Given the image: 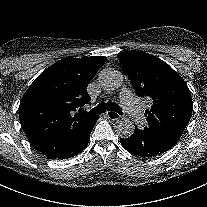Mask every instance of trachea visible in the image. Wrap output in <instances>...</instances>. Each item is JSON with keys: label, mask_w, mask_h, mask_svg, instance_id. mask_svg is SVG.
I'll use <instances>...</instances> for the list:
<instances>
[{"label": "trachea", "mask_w": 207, "mask_h": 207, "mask_svg": "<svg viewBox=\"0 0 207 207\" xmlns=\"http://www.w3.org/2000/svg\"><path fill=\"white\" fill-rule=\"evenodd\" d=\"M106 110L115 111L119 114H121V112H122L120 107L115 103L101 102L96 107H94L92 110H90L88 113L91 114V115H96V114L104 113Z\"/></svg>", "instance_id": "1"}]
</instances>
